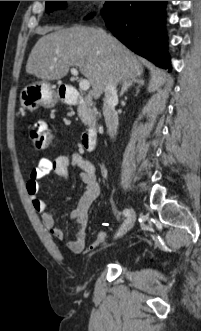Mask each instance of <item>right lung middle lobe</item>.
Segmentation results:
<instances>
[{
    "label": "right lung middle lobe",
    "mask_w": 201,
    "mask_h": 331,
    "mask_svg": "<svg viewBox=\"0 0 201 331\" xmlns=\"http://www.w3.org/2000/svg\"><path fill=\"white\" fill-rule=\"evenodd\" d=\"M65 5V1H46V12H51Z\"/></svg>",
    "instance_id": "1"
}]
</instances>
